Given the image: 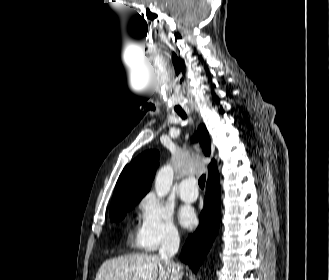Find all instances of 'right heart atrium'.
<instances>
[{"label":"right heart atrium","mask_w":329,"mask_h":280,"mask_svg":"<svg viewBox=\"0 0 329 280\" xmlns=\"http://www.w3.org/2000/svg\"><path fill=\"white\" fill-rule=\"evenodd\" d=\"M139 212L141 223L137 238L144 249L155 251L178 241L179 230L171 210L155 195L148 194L140 201Z\"/></svg>","instance_id":"right-heart-atrium-1"}]
</instances>
